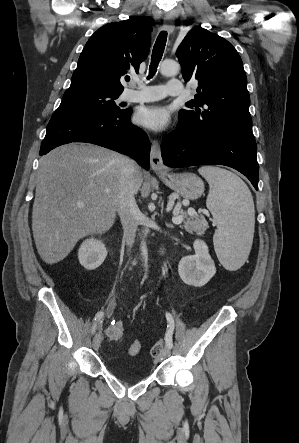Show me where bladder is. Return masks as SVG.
<instances>
[{
  "instance_id": "bladder-1",
  "label": "bladder",
  "mask_w": 299,
  "mask_h": 443,
  "mask_svg": "<svg viewBox=\"0 0 299 443\" xmlns=\"http://www.w3.org/2000/svg\"><path fill=\"white\" fill-rule=\"evenodd\" d=\"M108 369L116 377L127 383L139 382L141 380H144L148 376L147 371L139 366H132L129 367V369L127 370H122L118 367H115L114 365L109 364Z\"/></svg>"
}]
</instances>
